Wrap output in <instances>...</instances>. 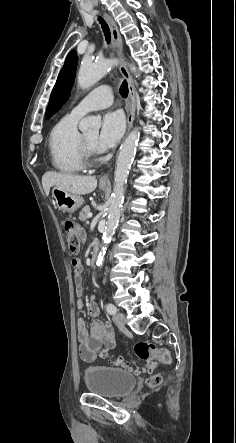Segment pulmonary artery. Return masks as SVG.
Wrapping results in <instances>:
<instances>
[{
    "mask_svg": "<svg viewBox=\"0 0 236 443\" xmlns=\"http://www.w3.org/2000/svg\"><path fill=\"white\" fill-rule=\"evenodd\" d=\"M113 102L112 88L104 85L93 89L84 96L72 109L71 114L81 117L92 110L110 106Z\"/></svg>",
    "mask_w": 236,
    "mask_h": 443,
    "instance_id": "e3ab8cb5",
    "label": "pulmonary artery"
}]
</instances>
